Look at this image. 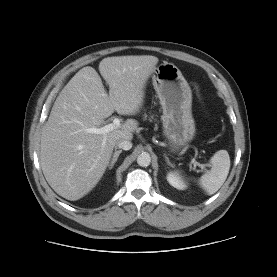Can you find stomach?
<instances>
[{"mask_svg":"<svg viewBox=\"0 0 277 277\" xmlns=\"http://www.w3.org/2000/svg\"><path fill=\"white\" fill-rule=\"evenodd\" d=\"M152 81L163 109L164 135L176 150L195 135L190 86L179 68L168 62L155 68Z\"/></svg>","mask_w":277,"mask_h":277,"instance_id":"stomach-1","label":"stomach"}]
</instances>
